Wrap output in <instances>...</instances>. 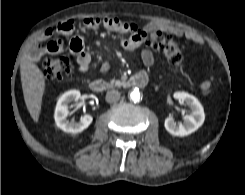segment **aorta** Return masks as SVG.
<instances>
[{"instance_id":"aorta-1","label":"aorta","mask_w":245,"mask_h":195,"mask_svg":"<svg viewBox=\"0 0 245 195\" xmlns=\"http://www.w3.org/2000/svg\"><path fill=\"white\" fill-rule=\"evenodd\" d=\"M130 99L134 102V103H137L140 101V92L138 90H133L131 93H130Z\"/></svg>"}]
</instances>
